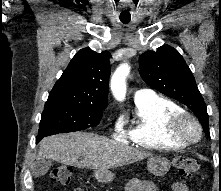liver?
Instances as JSON below:
<instances>
[{
  "mask_svg": "<svg viewBox=\"0 0 221 191\" xmlns=\"http://www.w3.org/2000/svg\"><path fill=\"white\" fill-rule=\"evenodd\" d=\"M104 136L86 132L52 135L40 142L36 160H55L66 165L108 170L151 157Z\"/></svg>",
  "mask_w": 221,
  "mask_h": 191,
  "instance_id": "obj_1",
  "label": "liver"
}]
</instances>
